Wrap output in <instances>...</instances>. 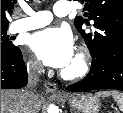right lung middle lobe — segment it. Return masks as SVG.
<instances>
[{
    "label": "right lung middle lobe",
    "mask_w": 123,
    "mask_h": 113,
    "mask_svg": "<svg viewBox=\"0 0 123 113\" xmlns=\"http://www.w3.org/2000/svg\"><path fill=\"white\" fill-rule=\"evenodd\" d=\"M20 49L12 45L11 38L7 35V27L1 28V53L3 54H13Z\"/></svg>",
    "instance_id": "1"
}]
</instances>
